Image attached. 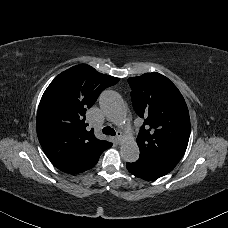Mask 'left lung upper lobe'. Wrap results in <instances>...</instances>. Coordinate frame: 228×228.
I'll return each instance as SVG.
<instances>
[{
  "instance_id": "5c2ea615",
  "label": "left lung upper lobe",
  "mask_w": 228,
  "mask_h": 228,
  "mask_svg": "<svg viewBox=\"0 0 228 228\" xmlns=\"http://www.w3.org/2000/svg\"><path fill=\"white\" fill-rule=\"evenodd\" d=\"M131 98L137 115L144 119L137 137L140 153L178 163L190 136V117L177 87L162 74L131 77Z\"/></svg>"
}]
</instances>
